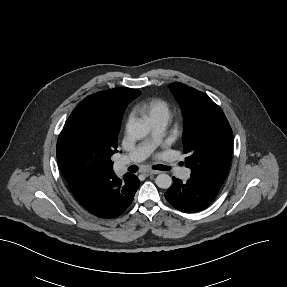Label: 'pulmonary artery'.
<instances>
[{
	"label": "pulmonary artery",
	"mask_w": 287,
	"mask_h": 287,
	"mask_svg": "<svg viewBox=\"0 0 287 287\" xmlns=\"http://www.w3.org/2000/svg\"><path fill=\"white\" fill-rule=\"evenodd\" d=\"M151 125V135L150 137L140 143L132 152H130L128 155L123 156L119 159L117 162V169L122 170L129 164L138 163L145 158L148 157L152 149L161 143L163 138V132L166 127V123L156 121L150 123ZM171 170L174 171L178 176H180L183 179H187L190 175V170L186 168H177V166L172 165Z\"/></svg>",
	"instance_id": "pulmonary-artery-1"
}]
</instances>
